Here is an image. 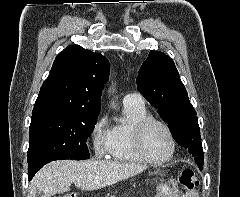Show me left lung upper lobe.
<instances>
[{"mask_svg":"<svg viewBox=\"0 0 240 197\" xmlns=\"http://www.w3.org/2000/svg\"><path fill=\"white\" fill-rule=\"evenodd\" d=\"M139 92L158 109L178 144L203 167L198 119L173 60L163 52L150 51L137 77Z\"/></svg>","mask_w":240,"mask_h":197,"instance_id":"1","label":"left lung upper lobe"}]
</instances>
